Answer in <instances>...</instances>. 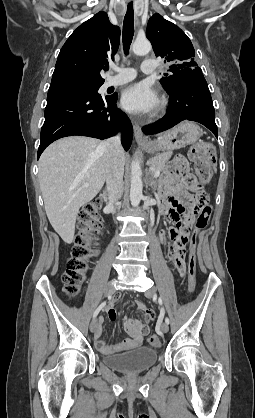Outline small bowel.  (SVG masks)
<instances>
[{
	"label": "small bowel",
	"instance_id": "c3829d8e",
	"mask_svg": "<svg viewBox=\"0 0 255 418\" xmlns=\"http://www.w3.org/2000/svg\"><path fill=\"white\" fill-rule=\"evenodd\" d=\"M187 154H178L176 161L165 174L160 189L162 198L161 212L169 218L174 226L163 229L160 232V241L165 248V255L169 256L170 264L177 271V278H186L187 266L185 263L186 249L189 246L188 239L194 234L193 228H177L183 220L190 217L196 207V202L203 195L195 177L189 172ZM138 307L143 311L147 321L154 318V312L138 302ZM106 313L111 321L117 319V311L113 303L106 307ZM99 319L98 327L94 332V343L97 349L103 354L123 352L142 344L144 336L148 333V325L138 319H124L123 327L130 336L118 344L109 345L102 338V323Z\"/></svg>",
	"mask_w": 255,
	"mask_h": 418
}]
</instances>
